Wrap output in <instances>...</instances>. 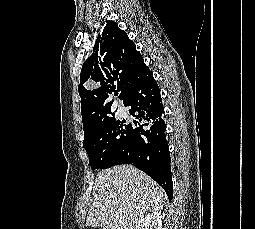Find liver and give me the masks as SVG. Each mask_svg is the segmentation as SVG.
<instances>
[{
    "instance_id": "6515ba94",
    "label": "liver",
    "mask_w": 255,
    "mask_h": 229,
    "mask_svg": "<svg viewBox=\"0 0 255 229\" xmlns=\"http://www.w3.org/2000/svg\"><path fill=\"white\" fill-rule=\"evenodd\" d=\"M165 199L161 186L138 168L115 166L95 179L86 225L135 229L145 213L161 210Z\"/></svg>"
}]
</instances>
